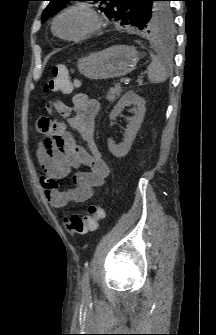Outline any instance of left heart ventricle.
Segmentation results:
<instances>
[{"instance_id": "1", "label": "left heart ventricle", "mask_w": 216, "mask_h": 335, "mask_svg": "<svg viewBox=\"0 0 216 335\" xmlns=\"http://www.w3.org/2000/svg\"><path fill=\"white\" fill-rule=\"evenodd\" d=\"M90 24L87 15L79 11H72L62 16L58 22V32L66 37L75 36L83 32Z\"/></svg>"}]
</instances>
